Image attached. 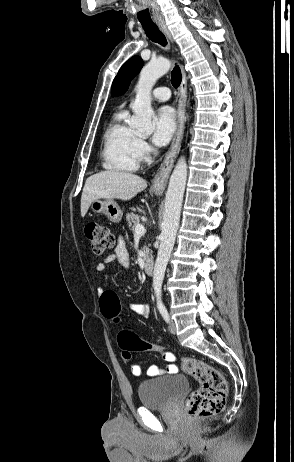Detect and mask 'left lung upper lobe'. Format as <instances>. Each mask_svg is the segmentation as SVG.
I'll use <instances>...</instances> for the list:
<instances>
[{"mask_svg":"<svg viewBox=\"0 0 294 462\" xmlns=\"http://www.w3.org/2000/svg\"><path fill=\"white\" fill-rule=\"evenodd\" d=\"M143 61L139 56L130 58L119 70L112 84V96L127 91L131 80L140 72Z\"/></svg>","mask_w":294,"mask_h":462,"instance_id":"left-lung-upper-lobe-1","label":"left lung upper lobe"}]
</instances>
